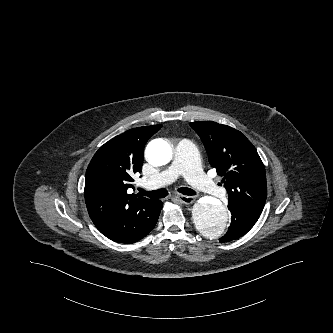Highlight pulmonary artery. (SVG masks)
I'll return each mask as SVG.
<instances>
[{
	"label": "pulmonary artery",
	"mask_w": 333,
	"mask_h": 333,
	"mask_svg": "<svg viewBox=\"0 0 333 333\" xmlns=\"http://www.w3.org/2000/svg\"><path fill=\"white\" fill-rule=\"evenodd\" d=\"M183 176L190 185L200 192L220 197L224 190L207 177L201 170L195 145L182 139L176 146L172 163L159 175L146 181L145 186L156 188L168 185Z\"/></svg>",
	"instance_id": "pulmonary-artery-1"
}]
</instances>
